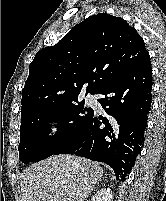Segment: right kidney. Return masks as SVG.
I'll return each instance as SVG.
<instances>
[{"label": "right kidney", "mask_w": 166, "mask_h": 201, "mask_svg": "<svg viewBox=\"0 0 166 201\" xmlns=\"http://www.w3.org/2000/svg\"><path fill=\"white\" fill-rule=\"evenodd\" d=\"M113 195L111 189L102 188L91 199V201H112Z\"/></svg>", "instance_id": "ca27d5eb"}]
</instances>
